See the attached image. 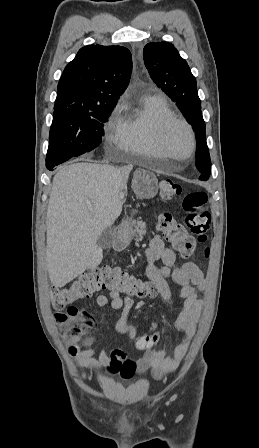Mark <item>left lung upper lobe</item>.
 I'll return each instance as SVG.
<instances>
[{"label": "left lung upper lobe", "mask_w": 259, "mask_h": 448, "mask_svg": "<svg viewBox=\"0 0 259 448\" xmlns=\"http://www.w3.org/2000/svg\"><path fill=\"white\" fill-rule=\"evenodd\" d=\"M144 63L150 77L178 106L195 131L197 140L196 167L207 172L211 166L206 142L205 122L197 83L187 62L168 42L148 43L143 50Z\"/></svg>", "instance_id": "5c2ea615"}]
</instances>
